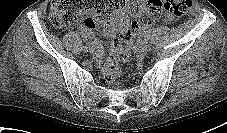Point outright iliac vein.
I'll return each instance as SVG.
<instances>
[{
  "instance_id": "right-iliac-vein-1",
  "label": "right iliac vein",
  "mask_w": 227,
  "mask_h": 133,
  "mask_svg": "<svg viewBox=\"0 0 227 133\" xmlns=\"http://www.w3.org/2000/svg\"><path fill=\"white\" fill-rule=\"evenodd\" d=\"M84 52L93 53L94 52V48L93 47H87L86 51H84Z\"/></svg>"
}]
</instances>
